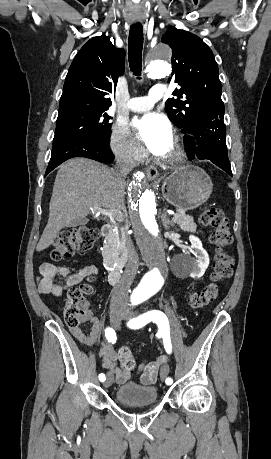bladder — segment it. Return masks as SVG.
<instances>
[{"instance_id": "bladder-1", "label": "bladder", "mask_w": 271, "mask_h": 459, "mask_svg": "<svg viewBox=\"0 0 271 459\" xmlns=\"http://www.w3.org/2000/svg\"><path fill=\"white\" fill-rule=\"evenodd\" d=\"M157 398V389L133 382L123 383L115 392L116 404L151 405L157 402Z\"/></svg>"}]
</instances>
